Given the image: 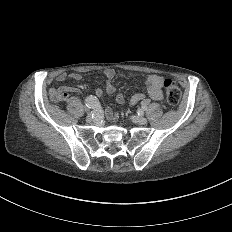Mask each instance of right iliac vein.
<instances>
[{
    "label": "right iliac vein",
    "instance_id": "63e3f726",
    "mask_svg": "<svg viewBox=\"0 0 232 232\" xmlns=\"http://www.w3.org/2000/svg\"><path fill=\"white\" fill-rule=\"evenodd\" d=\"M86 122H87V123H90V122H91V115H88V116L86 117Z\"/></svg>",
    "mask_w": 232,
    "mask_h": 232
}]
</instances>
